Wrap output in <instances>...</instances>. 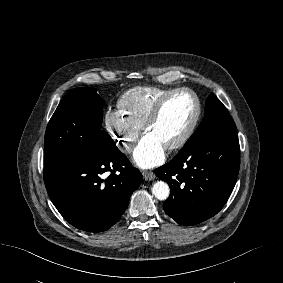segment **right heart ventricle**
<instances>
[{"label": "right heart ventricle", "instance_id": "right-heart-ventricle-1", "mask_svg": "<svg viewBox=\"0 0 283 283\" xmlns=\"http://www.w3.org/2000/svg\"><path fill=\"white\" fill-rule=\"evenodd\" d=\"M172 88L139 86L126 91L118 106L123 115L138 129H141L156 101Z\"/></svg>", "mask_w": 283, "mask_h": 283}]
</instances>
